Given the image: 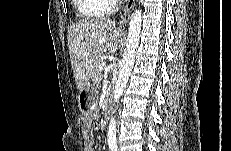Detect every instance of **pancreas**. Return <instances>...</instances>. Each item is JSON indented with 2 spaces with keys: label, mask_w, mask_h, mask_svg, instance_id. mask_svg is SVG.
<instances>
[{
  "label": "pancreas",
  "mask_w": 231,
  "mask_h": 151,
  "mask_svg": "<svg viewBox=\"0 0 231 151\" xmlns=\"http://www.w3.org/2000/svg\"><path fill=\"white\" fill-rule=\"evenodd\" d=\"M102 61L99 60L94 67V72L92 74V80L95 84H98L102 78V70L99 68V65Z\"/></svg>",
  "instance_id": "obj_1"
}]
</instances>
